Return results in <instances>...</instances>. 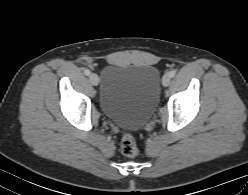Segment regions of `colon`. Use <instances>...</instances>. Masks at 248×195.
<instances>
[{"label":"colon","instance_id":"colon-1","mask_svg":"<svg viewBox=\"0 0 248 195\" xmlns=\"http://www.w3.org/2000/svg\"><path fill=\"white\" fill-rule=\"evenodd\" d=\"M121 152L127 157H134L138 154L136 140L132 134H125L121 140Z\"/></svg>","mask_w":248,"mask_h":195}]
</instances>
